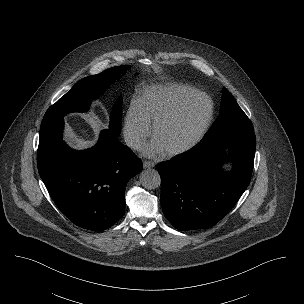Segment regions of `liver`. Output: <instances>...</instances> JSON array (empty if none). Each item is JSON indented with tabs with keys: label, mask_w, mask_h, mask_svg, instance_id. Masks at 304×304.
<instances>
[{
	"label": "liver",
	"mask_w": 304,
	"mask_h": 304,
	"mask_svg": "<svg viewBox=\"0 0 304 304\" xmlns=\"http://www.w3.org/2000/svg\"><path fill=\"white\" fill-rule=\"evenodd\" d=\"M82 133L86 134V136H88L85 130H82ZM93 143H94L93 140H83L82 139V140H80L79 145H81L80 147L82 149V148H87V147L91 146Z\"/></svg>",
	"instance_id": "obj_1"
}]
</instances>
